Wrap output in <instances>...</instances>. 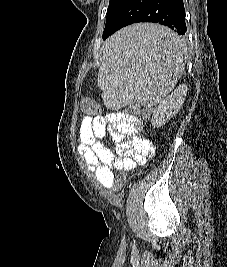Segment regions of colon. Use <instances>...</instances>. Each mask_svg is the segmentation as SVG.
<instances>
[{
    "label": "colon",
    "mask_w": 227,
    "mask_h": 267,
    "mask_svg": "<svg viewBox=\"0 0 227 267\" xmlns=\"http://www.w3.org/2000/svg\"><path fill=\"white\" fill-rule=\"evenodd\" d=\"M82 109L89 113L94 114L100 111L99 105L89 98H84L81 102ZM141 108V109H140ZM126 113H133L134 116H140V119L143 120V125H149L154 114H151L148 104H141L139 108H126ZM131 169L127 167V169H120L116 173H113V178H130Z\"/></svg>",
    "instance_id": "5ec220e1"
}]
</instances>
